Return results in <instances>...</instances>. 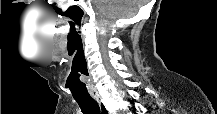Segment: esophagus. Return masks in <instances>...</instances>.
<instances>
[{"label":"esophagus","instance_id":"obj_1","mask_svg":"<svg viewBox=\"0 0 217 114\" xmlns=\"http://www.w3.org/2000/svg\"><path fill=\"white\" fill-rule=\"evenodd\" d=\"M94 99L97 101L99 107H100V112L101 114H105L107 109L105 108V100L102 98L100 95H95Z\"/></svg>","mask_w":217,"mask_h":114}]
</instances>
